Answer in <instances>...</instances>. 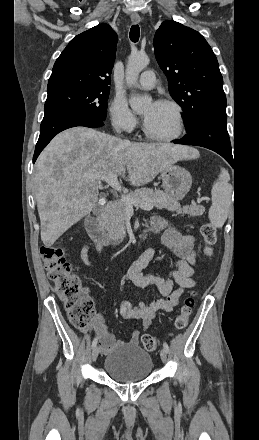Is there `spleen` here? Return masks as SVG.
<instances>
[{
    "label": "spleen",
    "instance_id": "1",
    "mask_svg": "<svg viewBox=\"0 0 259 440\" xmlns=\"http://www.w3.org/2000/svg\"><path fill=\"white\" fill-rule=\"evenodd\" d=\"M230 175L224 168L221 169V173L217 182L213 185L212 194V206L209 209V219L215 227L221 228L228 216V212L231 206L232 186L229 184Z\"/></svg>",
    "mask_w": 259,
    "mask_h": 440
}]
</instances>
